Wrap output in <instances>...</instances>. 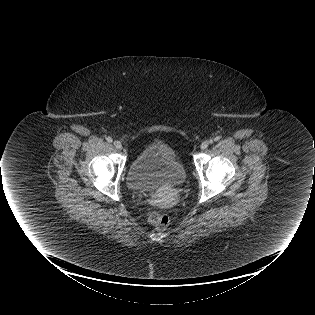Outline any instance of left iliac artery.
I'll list each match as a JSON object with an SVG mask.
<instances>
[{"mask_svg":"<svg viewBox=\"0 0 315 315\" xmlns=\"http://www.w3.org/2000/svg\"><path fill=\"white\" fill-rule=\"evenodd\" d=\"M219 139H220V137H216V138L214 139V141H218ZM210 142L212 143L213 140H210Z\"/></svg>","mask_w":315,"mask_h":315,"instance_id":"1","label":"left iliac artery"}]
</instances>
